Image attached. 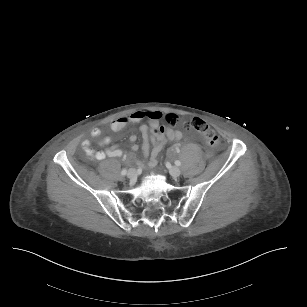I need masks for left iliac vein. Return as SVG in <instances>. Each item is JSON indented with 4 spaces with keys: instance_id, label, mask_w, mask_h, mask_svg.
<instances>
[{
    "instance_id": "1",
    "label": "left iliac vein",
    "mask_w": 307,
    "mask_h": 307,
    "mask_svg": "<svg viewBox=\"0 0 307 307\" xmlns=\"http://www.w3.org/2000/svg\"><path fill=\"white\" fill-rule=\"evenodd\" d=\"M169 173H170V175H171L174 179H176V178H178V177L180 176L181 171H180V169H179L178 167L173 166V167H171V168L169 169Z\"/></svg>"
}]
</instances>
